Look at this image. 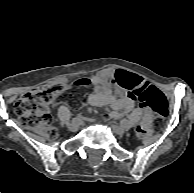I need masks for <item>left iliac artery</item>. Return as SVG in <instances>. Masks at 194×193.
I'll return each instance as SVG.
<instances>
[{
  "label": "left iliac artery",
  "instance_id": "44dca946",
  "mask_svg": "<svg viewBox=\"0 0 194 193\" xmlns=\"http://www.w3.org/2000/svg\"><path fill=\"white\" fill-rule=\"evenodd\" d=\"M126 122H127V120H126V119H123V120L121 121V124H126Z\"/></svg>",
  "mask_w": 194,
  "mask_h": 193
}]
</instances>
